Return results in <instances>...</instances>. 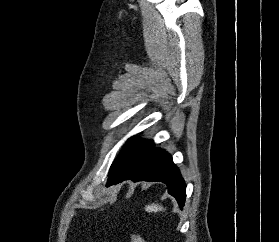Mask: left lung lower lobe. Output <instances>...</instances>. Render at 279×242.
Wrapping results in <instances>:
<instances>
[{
	"mask_svg": "<svg viewBox=\"0 0 279 242\" xmlns=\"http://www.w3.org/2000/svg\"><path fill=\"white\" fill-rule=\"evenodd\" d=\"M128 179H131L134 182H163L167 185L168 193L177 200L179 207L182 208L184 206L186 185L181 177L179 169L173 163L172 157L163 149H151L113 184H117Z\"/></svg>",
	"mask_w": 279,
	"mask_h": 242,
	"instance_id": "left-lung-lower-lobe-1",
	"label": "left lung lower lobe"
}]
</instances>
